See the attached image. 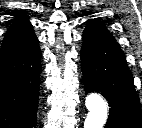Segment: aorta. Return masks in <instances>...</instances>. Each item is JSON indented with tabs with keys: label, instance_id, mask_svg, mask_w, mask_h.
Instances as JSON below:
<instances>
[{
	"label": "aorta",
	"instance_id": "obj_1",
	"mask_svg": "<svg viewBox=\"0 0 142 128\" xmlns=\"http://www.w3.org/2000/svg\"><path fill=\"white\" fill-rule=\"evenodd\" d=\"M88 114L84 122V128H103L108 113L106 101L100 94L91 93L85 100Z\"/></svg>",
	"mask_w": 142,
	"mask_h": 128
}]
</instances>
